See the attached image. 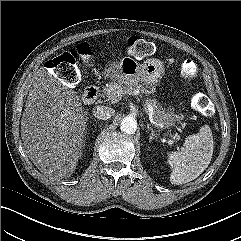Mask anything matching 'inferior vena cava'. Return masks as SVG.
<instances>
[{
    "label": "inferior vena cava",
    "instance_id": "inferior-vena-cava-1",
    "mask_svg": "<svg viewBox=\"0 0 241 241\" xmlns=\"http://www.w3.org/2000/svg\"><path fill=\"white\" fill-rule=\"evenodd\" d=\"M92 112L94 117H96L97 119L108 120L109 118H111V116L114 115L115 110L108 106H96Z\"/></svg>",
    "mask_w": 241,
    "mask_h": 241
}]
</instances>
